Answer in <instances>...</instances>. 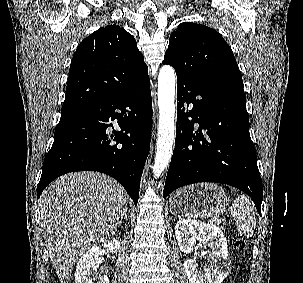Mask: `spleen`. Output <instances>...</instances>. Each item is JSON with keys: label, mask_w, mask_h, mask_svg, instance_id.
<instances>
[{"label": "spleen", "mask_w": 303, "mask_h": 283, "mask_svg": "<svg viewBox=\"0 0 303 283\" xmlns=\"http://www.w3.org/2000/svg\"><path fill=\"white\" fill-rule=\"evenodd\" d=\"M229 211L236 222L239 234L247 237L252 236L256 228V218L250 200L245 195L239 196Z\"/></svg>", "instance_id": "3e777b00"}]
</instances>
